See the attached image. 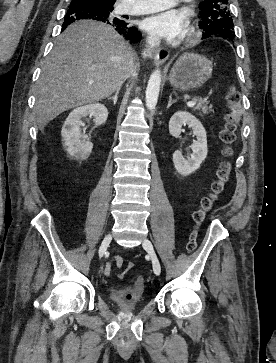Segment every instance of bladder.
Here are the masks:
<instances>
[{
    "label": "bladder",
    "mask_w": 276,
    "mask_h": 363,
    "mask_svg": "<svg viewBox=\"0 0 276 363\" xmlns=\"http://www.w3.org/2000/svg\"><path fill=\"white\" fill-rule=\"evenodd\" d=\"M108 297L121 307L133 308L144 302V288L136 284L112 288L108 291Z\"/></svg>",
    "instance_id": "obj_1"
}]
</instances>
